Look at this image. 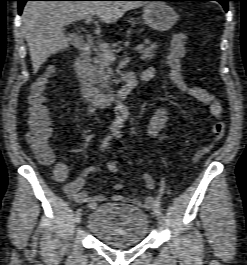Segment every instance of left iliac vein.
Wrapping results in <instances>:
<instances>
[{"label": "left iliac vein", "instance_id": "left-iliac-vein-1", "mask_svg": "<svg viewBox=\"0 0 247 265\" xmlns=\"http://www.w3.org/2000/svg\"><path fill=\"white\" fill-rule=\"evenodd\" d=\"M155 215H156V219H157L159 226L162 227L164 225V217H163L162 213L161 214L155 213Z\"/></svg>", "mask_w": 247, "mask_h": 265}]
</instances>
